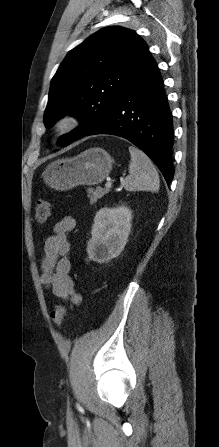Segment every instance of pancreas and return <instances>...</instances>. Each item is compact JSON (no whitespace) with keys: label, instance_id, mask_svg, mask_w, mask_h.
Instances as JSON below:
<instances>
[{"label":"pancreas","instance_id":"pancreas-1","mask_svg":"<svg viewBox=\"0 0 219 447\" xmlns=\"http://www.w3.org/2000/svg\"><path fill=\"white\" fill-rule=\"evenodd\" d=\"M88 197L90 198V203L95 204L98 199L102 198L105 194L109 192V189H104L97 187L96 190L88 189Z\"/></svg>","mask_w":219,"mask_h":447}]
</instances>
